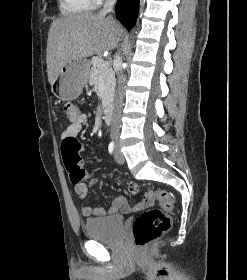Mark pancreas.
I'll list each match as a JSON object with an SVG mask.
<instances>
[{
    "label": "pancreas",
    "mask_w": 247,
    "mask_h": 280,
    "mask_svg": "<svg viewBox=\"0 0 247 280\" xmlns=\"http://www.w3.org/2000/svg\"><path fill=\"white\" fill-rule=\"evenodd\" d=\"M102 63H104L102 57H93L91 59L90 84L96 85L98 79H102L104 87L102 94V106L105 107L112 97L115 85V78L114 72L110 66L106 69H101Z\"/></svg>",
    "instance_id": "pancreas-1"
}]
</instances>
